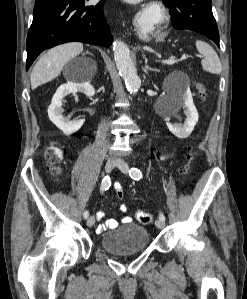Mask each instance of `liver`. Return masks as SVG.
<instances>
[{
	"label": "liver",
	"instance_id": "1",
	"mask_svg": "<svg viewBox=\"0 0 247 299\" xmlns=\"http://www.w3.org/2000/svg\"><path fill=\"white\" fill-rule=\"evenodd\" d=\"M83 51V44L70 42L58 45L44 54L33 67L30 75L31 88L34 90L42 84L55 79L63 67Z\"/></svg>",
	"mask_w": 247,
	"mask_h": 299
}]
</instances>
